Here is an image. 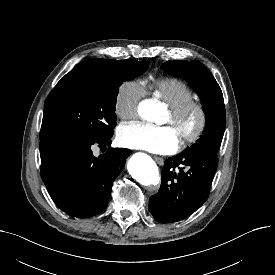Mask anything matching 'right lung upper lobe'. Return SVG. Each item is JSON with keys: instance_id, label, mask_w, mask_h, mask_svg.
Here are the masks:
<instances>
[{"instance_id": "1", "label": "right lung upper lobe", "mask_w": 275, "mask_h": 275, "mask_svg": "<svg viewBox=\"0 0 275 275\" xmlns=\"http://www.w3.org/2000/svg\"><path fill=\"white\" fill-rule=\"evenodd\" d=\"M114 61L115 60L101 59V58L89 59L84 62H81L71 71H77V70L86 69V68L105 69V68L110 67Z\"/></svg>"}]
</instances>
